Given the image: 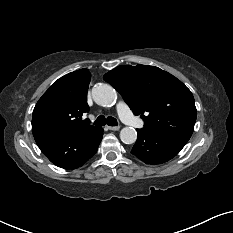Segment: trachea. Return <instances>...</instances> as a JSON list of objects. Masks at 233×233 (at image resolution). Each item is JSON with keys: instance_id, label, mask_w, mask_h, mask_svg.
Segmentation results:
<instances>
[{"instance_id": "obj_1", "label": "trachea", "mask_w": 233, "mask_h": 233, "mask_svg": "<svg viewBox=\"0 0 233 233\" xmlns=\"http://www.w3.org/2000/svg\"><path fill=\"white\" fill-rule=\"evenodd\" d=\"M108 124L109 126H117V120L113 117H107L105 118L103 115H100L94 122V125L96 126H104L105 124Z\"/></svg>"}]
</instances>
